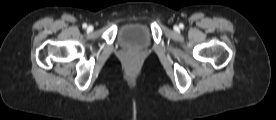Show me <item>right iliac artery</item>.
<instances>
[{
  "mask_svg": "<svg viewBox=\"0 0 276 120\" xmlns=\"http://www.w3.org/2000/svg\"><path fill=\"white\" fill-rule=\"evenodd\" d=\"M82 27H83V28H86V27H87V24H86V23H84V24L82 25Z\"/></svg>",
  "mask_w": 276,
  "mask_h": 120,
  "instance_id": "82829eb1",
  "label": "right iliac artery"
}]
</instances>
